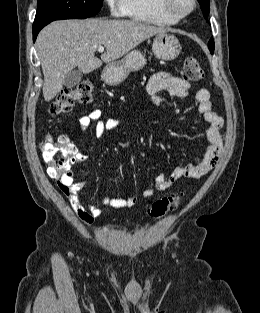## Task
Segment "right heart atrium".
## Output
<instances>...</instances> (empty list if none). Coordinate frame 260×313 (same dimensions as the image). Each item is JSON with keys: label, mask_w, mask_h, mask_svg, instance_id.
<instances>
[{"label": "right heart atrium", "mask_w": 260, "mask_h": 313, "mask_svg": "<svg viewBox=\"0 0 260 313\" xmlns=\"http://www.w3.org/2000/svg\"><path fill=\"white\" fill-rule=\"evenodd\" d=\"M113 16H123L126 13L125 0H104Z\"/></svg>", "instance_id": "1"}]
</instances>
